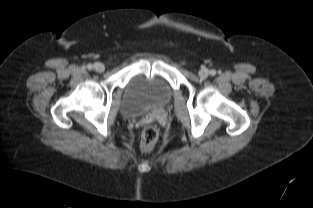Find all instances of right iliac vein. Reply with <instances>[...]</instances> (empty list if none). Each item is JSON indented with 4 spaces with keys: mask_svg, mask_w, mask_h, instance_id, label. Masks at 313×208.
<instances>
[{
    "mask_svg": "<svg viewBox=\"0 0 313 208\" xmlns=\"http://www.w3.org/2000/svg\"><path fill=\"white\" fill-rule=\"evenodd\" d=\"M93 68H94V70H95L96 72H99V73L103 72L104 69H105L104 65H103L102 63H100V62H96V63L93 65Z\"/></svg>",
    "mask_w": 313,
    "mask_h": 208,
    "instance_id": "1",
    "label": "right iliac vein"
}]
</instances>
